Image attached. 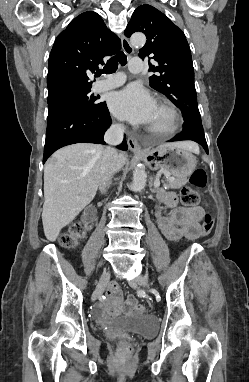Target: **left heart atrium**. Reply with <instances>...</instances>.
<instances>
[{
    "label": "left heart atrium",
    "mask_w": 249,
    "mask_h": 382,
    "mask_svg": "<svg viewBox=\"0 0 249 382\" xmlns=\"http://www.w3.org/2000/svg\"><path fill=\"white\" fill-rule=\"evenodd\" d=\"M108 104L116 117L134 124H147L156 108L149 91L136 84L114 92Z\"/></svg>",
    "instance_id": "left-heart-atrium-1"
}]
</instances>
